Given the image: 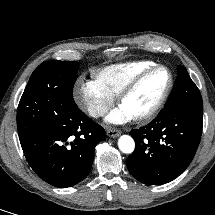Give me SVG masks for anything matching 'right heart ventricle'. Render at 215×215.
<instances>
[{
	"label": "right heart ventricle",
	"instance_id": "1",
	"mask_svg": "<svg viewBox=\"0 0 215 215\" xmlns=\"http://www.w3.org/2000/svg\"><path fill=\"white\" fill-rule=\"evenodd\" d=\"M154 64L149 60L112 64L95 70L93 77L101 87L117 96L134 76Z\"/></svg>",
	"mask_w": 215,
	"mask_h": 215
}]
</instances>
